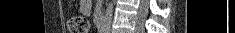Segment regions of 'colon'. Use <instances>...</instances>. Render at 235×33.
<instances>
[{"label":"colon","instance_id":"colon-1","mask_svg":"<svg viewBox=\"0 0 235 33\" xmlns=\"http://www.w3.org/2000/svg\"><path fill=\"white\" fill-rule=\"evenodd\" d=\"M68 25L71 33H87L89 29L88 20L83 16H73Z\"/></svg>","mask_w":235,"mask_h":33}]
</instances>
